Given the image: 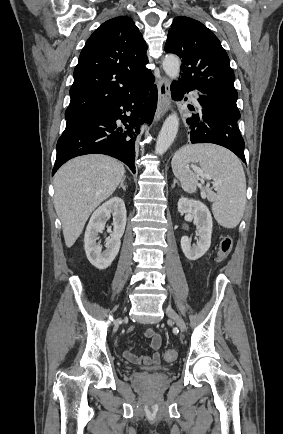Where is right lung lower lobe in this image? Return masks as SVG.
<instances>
[{
  "label": "right lung lower lobe",
  "instance_id": "right-lung-lower-lobe-1",
  "mask_svg": "<svg viewBox=\"0 0 283 434\" xmlns=\"http://www.w3.org/2000/svg\"><path fill=\"white\" fill-rule=\"evenodd\" d=\"M149 90L152 95L148 97L146 92ZM156 106L157 87L150 72L140 85L125 97L100 109L68 119L57 143L52 175L69 159L92 153L115 157L135 173L134 141L140 125L151 123ZM118 119L123 123L121 127L116 122Z\"/></svg>",
  "mask_w": 283,
  "mask_h": 434
}]
</instances>
